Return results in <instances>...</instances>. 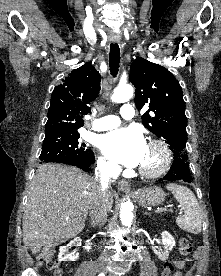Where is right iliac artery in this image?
<instances>
[{
    "label": "right iliac artery",
    "mask_w": 221,
    "mask_h": 276,
    "mask_svg": "<svg viewBox=\"0 0 221 276\" xmlns=\"http://www.w3.org/2000/svg\"><path fill=\"white\" fill-rule=\"evenodd\" d=\"M99 276H104L103 274H100Z\"/></svg>",
    "instance_id": "right-iliac-artery-1"
}]
</instances>
